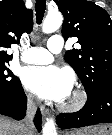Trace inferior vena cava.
<instances>
[{"label": "inferior vena cava", "instance_id": "inferior-vena-cava-1", "mask_svg": "<svg viewBox=\"0 0 112 135\" xmlns=\"http://www.w3.org/2000/svg\"><path fill=\"white\" fill-rule=\"evenodd\" d=\"M38 102L30 98L27 102V111L25 119L20 123L23 135H33L34 124L33 118L36 113Z\"/></svg>", "mask_w": 112, "mask_h": 135}]
</instances>
